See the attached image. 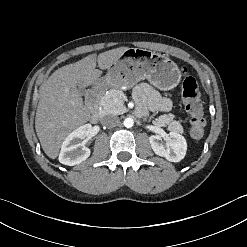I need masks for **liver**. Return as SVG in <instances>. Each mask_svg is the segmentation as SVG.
<instances>
[{
	"label": "liver",
	"instance_id": "liver-1",
	"mask_svg": "<svg viewBox=\"0 0 247 247\" xmlns=\"http://www.w3.org/2000/svg\"><path fill=\"white\" fill-rule=\"evenodd\" d=\"M129 49L119 47L98 56L85 58L65 65L41 85L40 100L35 117V129L45 154L55 159L66 137L91 118L90 110L83 105L78 88L92 85L115 60Z\"/></svg>",
	"mask_w": 247,
	"mask_h": 247
}]
</instances>
